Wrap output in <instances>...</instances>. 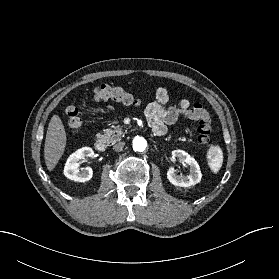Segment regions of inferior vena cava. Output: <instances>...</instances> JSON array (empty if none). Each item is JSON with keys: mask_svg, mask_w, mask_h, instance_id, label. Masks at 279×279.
Segmentation results:
<instances>
[{"mask_svg": "<svg viewBox=\"0 0 279 279\" xmlns=\"http://www.w3.org/2000/svg\"><path fill=\"white\" fill-rule=\"evenodd\" d=\"M125 143L124 142H119L113 146V150L116 152H120L123 150Z\"/></svg>", "mask_w": 279, "mask_h": 279, "instance_id": "1", "label": "inferior vena cava"}]
</instances>
